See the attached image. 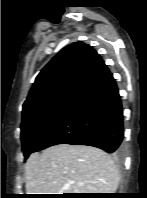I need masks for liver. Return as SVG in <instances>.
<instances>
[{
	"mask_svg": "<svg viewBox=\"0 0 147 198\" xmlns=\"http://www.w3.org/2000/svg\"><path fill=\"white\" fill-rule=\"evenodd\" d=\"M119 180L111 156L87 145H54L25 164L27 194L114 193Z\"/></svg>",
	"mask_w": 147,
	"mask_h": 198,
	"instance_id": "1",
	"label": "liver"
}]
</instances>
